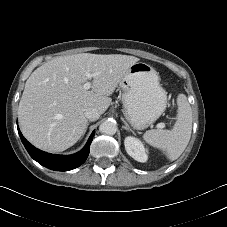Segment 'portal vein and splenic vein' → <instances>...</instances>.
<instances>
[{
	"label": "portal vein and splenic vein",
	"instance_id": "1",
	"mask_svg": "<svg viewBox=\"0 0 227 227\" xmlns=\"http://www.w3.org/2000/svg\"><path fill=\"white\" fill-rule=\"evenodd\" d=\"M86 78L88 79V81L84 84V89L88 90L91 88V82L90 80L92 79L93 75L89 72H86L85 74ZM157 128H164L165 127V123H158L156 125Z\"/></svg>",
	"mask_w": 227,
	"mask_h": 227
}]
</instances>
